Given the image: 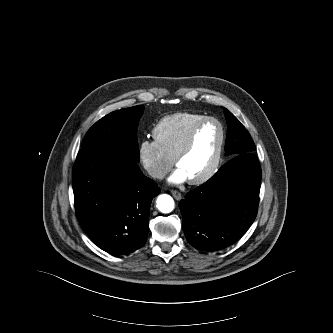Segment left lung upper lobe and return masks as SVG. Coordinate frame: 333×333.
Returning a JSON list of instances; mask_svg holds the SVG:
<instances>
[{
  "label": "left lung upper lobe",
  "mask_w": 333,
  "mask_h": 333,
  "mask_svg": "<svg viewBox=\"0 0 333 333\" xmlns=\"http://www.w3.org/2000/svg\"><path fill=\"white\" fill-rule=\"evenodd\" d=\"M224 114L228 124L225 152L227 155L235 156L243 153H253L254 142L239 120L226 108Z\"/></svg>",
  "instance_id": "5c2ea615"
}]
</instances>
